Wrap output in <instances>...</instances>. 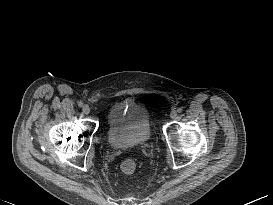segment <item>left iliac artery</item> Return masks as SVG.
Here are the masks:
<instances>
[{"mask_svg": "<svg viewBox=\"0 0 273 205\" xmlns=\"http://www.w3.org/2000/svg\"><path fill=\"white\" fill-rule=\"evenodd\" d=\"M182 111H183L182 108H178V109H177V112H178V113H182Z\"/></svg>", "mask_w": 273, "mask_h": 205, "instance_id": "left-iliac-artery-1", "label": "left iliac artery"}]
</instances>
